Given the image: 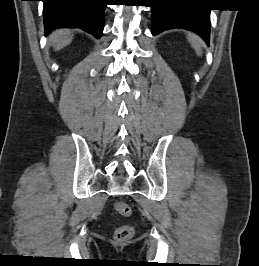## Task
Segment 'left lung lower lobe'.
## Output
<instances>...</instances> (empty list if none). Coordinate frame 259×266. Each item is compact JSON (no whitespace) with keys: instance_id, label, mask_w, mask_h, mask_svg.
<instances>
[{"instance_id":"obj_1","label":"left lung lower lobe","mask_w":259,"mask_h":266,"mask_svg":"<svg viewBox=\"0 0 259 266\" xmlns=\"http://www.w3.org/2000/svg\"><path fill=\"white\" fill-rule=\"evenodd\" d=\"M152 34L172 28H184L199 34L209 45L210 10L191 0H151Z\"/></svg>"}]
</instances>
